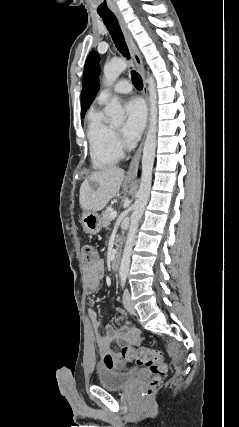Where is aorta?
<instances>
[{"label":"aorta","mask_w":239,"mask_h":427,"mask_svg":"<svg viewBox=\"0 0 239 427\" xmlns=\"http://www.w3.org/2000/svg\"><path fill=\"white\" fill-rule=\"evenodd\" d=\"M128 67V62L123 59L111 61L104 66V83L111 86L119 75ZM148 90L150 102V121L142 156V174L140 188L137 193V199L133 205V212L127 239L120 264L119 275L126 277L129 273L132 248L134 245L139 221L144 213L145 207L149 200L152 169L156 149V132H157V93L156 84L153 77H148ZM105 113L110 117L112 124L119 125L124 122L125 113L117 97H113L105 108Z\"/></svg>","instance_id":"aorta-1"}]
</instances>
